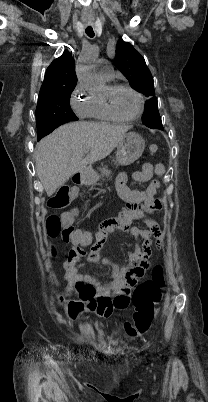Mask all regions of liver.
<instances>
[{"label": "liver", "mask_w": 208, "mask_h": 402, "mask_svg": "<svg viewBox=\"0 0 208 402\" xmlns=\"http://www.w3.org/2000/svg\"><path fill=\"white\" fill-rule=\"evenodd\" d=\"M130 126L72 122L60 126L43 138L35 148L37 176L47 196H52L73 174L81 172L87 164L103 160L125 138ZM83 154L91 156L88 162Z\"/></svg>", "instance_id": "liver-1"}]
</instances>
